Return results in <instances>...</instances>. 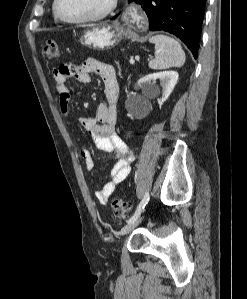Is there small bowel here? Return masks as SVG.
Segmentation results:
<instances>
[{"label":"small bowel","instance_id":"c3829d8e","mask_svg":"<svg viewBox=\"0 0 247 299\" xmlns=\"http://www.w3.org/2000/svg\"><path fill=\"white\" fill-rule=\"evenodd\" d=\"M92 74L99 75L103 80L106 102L98 105L95 115L82 117L78 120V123L88 132L97 148L112 152L117 157V162L110 172V177L102 183L95 193L97 200L101 204H106L117 185L128 176L130 164L134 159L133 154L115 131L117 103L120 93L115 69L111 65L95 59H87L75 70L68 64H61L53 69L60 109L65 114L69 112L70 103V90L67 86V80L74 78L79 83L85 84L90 82ZM80 156L85 168L88 171L92 170L94 162L91 151L88 148H82Z\"/></svg>","mask_w":247,"mask_h":299}]
</instances>
